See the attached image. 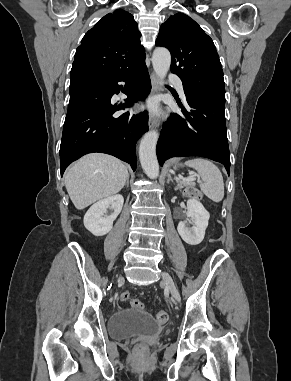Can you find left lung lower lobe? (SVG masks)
<instances>
[{
	"label": "left lung lower lobe",
	"mask_w": 291,
	"mask_h": 381,
	"mask_svg": "<svg viewBox=\"0 0 291 381\" xmlns=\"http://www.w3.org/2000/svg\"><path fill=\"white\" fill-rule=\"evenodd\" d=\"M184 92L189 105L185 109L179 103L184 117L172 114L157 143L160 165L171 157L201 156L222 163L229 174L225 97Z\"/></svg>",
	"instance_id": "0a47b994"
}]
</instances>
